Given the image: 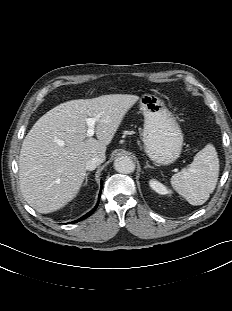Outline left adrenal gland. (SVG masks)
<instances>
[{"mask_svg": "<svg viewBox=\"0 0 232 311\" xmlns=\"http://www.w3.org/2000/svg\"><path fill=\"white\" fill-rule=\"evenodd\" d=\"M144 168H154V167L149 165L148 162H146V166Z\"/></svg>", "mask_w": 232, "mask_h": 311, "instance_id": "left-adrenal-gland-1", "label": "left adrenal gland"}]
</instances>
